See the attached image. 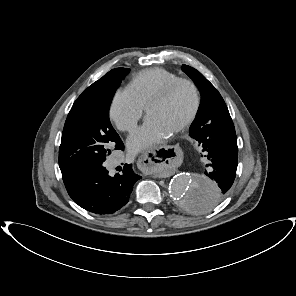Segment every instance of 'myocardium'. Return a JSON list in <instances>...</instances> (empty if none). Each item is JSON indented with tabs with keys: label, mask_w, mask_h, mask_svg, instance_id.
I'll list each match as a JSON object with an SVG mask.
<instances>
[{
	"label": "myocardium",
	"mask_w": 296,
	"mask_h": 296,
	"mask_svg": "<svg viewBox=\"0 0 296 296\" xmlns=\"http://www.w3.org/2000/svg\"><path fill=\"white\" fill-rule=\"evenodd\" d=\"M182 86H188L193 91L194 106L188 118L172 132L173 135L179 134L185 131L187 128H189L194 123V121L198 116L200 106H201V95L197 85L191 80H187V79L177 80L172 84H170L168 87H166L163 91L155 95L153 98H151L146 105V113L148 115L150 109L153 106L167 101Z\"/></svg>",
	"instance_id": "f54148a6"
}]
</instances>
